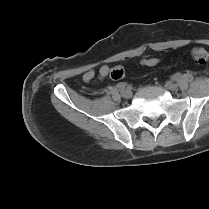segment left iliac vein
Listing matches in <instances>:
<instances>
[{
	"label": "left iliac vein",
	"mask_w": 209,
	"mask_h": 209,
	"mask_svg": "<svg viewBox=\"0 0 209 209\" xmlns=\"http://www.w3.org/2000/svg\"><path fill=\"white\" fill-rule=\"evenodd\" d=\"M165 88L170 91H176L178 86H177V84L173 83L172 81H168L165 84Z\"/></svg>",
	"instance_id": "4c4485c4"
}]
</instances>
